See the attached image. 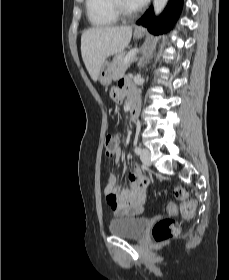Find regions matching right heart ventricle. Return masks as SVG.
<instances>
[{"label":"right heart ventricle","mask_w":229,"mask_h":280,"mask_svg":"<svg viewBox=\"0 0 229 280\" xmlns=\"http://www.w3.org/2000/svg\"><path fill=\"white\" fill-rule=\"evenodd\" d=\"M85 10L88 22L96 28L115 25L118 17L110 8V0H86Z\"/></svg>","instance_id":"1"}]
</instances>
